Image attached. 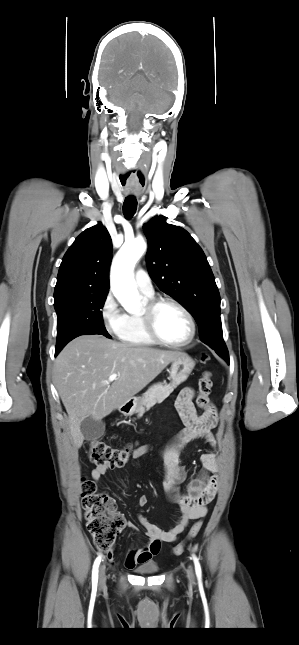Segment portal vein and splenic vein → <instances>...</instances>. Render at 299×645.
<instances>
[{"instance_id": "obj_1", "label": "portal vein and splenic vein", "mask_w": 299, "mask_h": 645, "mask_svg": "<svg viewBox=\"0 0 299 645\" xmlns=\"http://www.w3.org/2000/svg\"><path fill=\"white\" fill-rule=\"evenodd\" d=\"M116 378H117V374H115V373L111 374L109 376L108 380L106 381V383L109 384L110 382H113Z\"/></svg>"}]
</instances>
